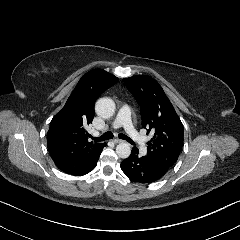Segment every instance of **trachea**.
<instances>
[{"label": "trachea", "mask_w": 240, "mask_h": 240, "mask_svg": "<svg viewBox=\"0 0 240 240\" xmlns=\"http://www.w3.org/2000/svg\"><path fill=\"white\" fill-rule=\"evenodd\" d=\"M118 137L120 139L126 140L127 142H129L130 144H134V142L126 135H124L123 133H120L118 135ZM113 138V133L111 131H107L105 132L103 135H101L100 137H92V139L94 140V142H100V141H106L109 139Z\"/></svg>", "instance_id": "trachea-1"}]
</instances>
